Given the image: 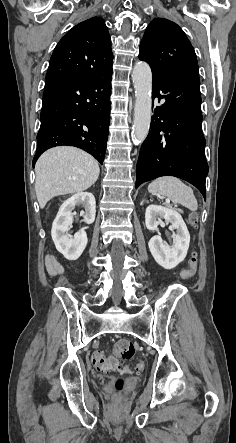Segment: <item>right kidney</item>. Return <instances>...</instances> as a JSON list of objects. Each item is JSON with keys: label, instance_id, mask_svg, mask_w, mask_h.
I'll return each instance as SVG.
<instances>
[{"label": "right kidney", "instance_id": "right-kidney-1", "mask_svg": "<svg viewBox=\"0 0 236 443\" xmlns=\"http://www.w3.org/2000/svg\"><path fill=\"white\" fill-rule=\"evenodd\" d=\"M76 206L84 207L83 221L91 224L95 220L96 201L93 194L80 192L68 198L60 207L52 224L51 235L56 249L68 260H77L83 253L88 239L86 232L81 229L74 237L67 232L73 223L72 211Z\"/></svg>", "mask_w": 236, "mask_h": 443}]
</instances>
